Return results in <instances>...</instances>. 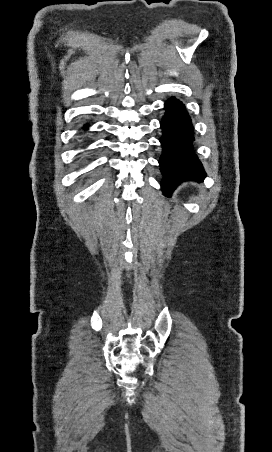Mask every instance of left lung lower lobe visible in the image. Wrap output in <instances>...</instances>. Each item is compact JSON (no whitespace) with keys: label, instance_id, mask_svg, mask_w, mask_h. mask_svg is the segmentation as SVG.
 <instances>
[{"label":"left lung lower lobe","instance_id":"1","mask_svg":"<svg viewBox=\"0 0 272 452\" xmlns=\"http://www.w3.org/2000/svg\"><path fill=\"white\" fill-rule=\"evenodd\" d=\"M164 106L159 164L164 175L162 191L170 196L182 181L200 180L206 174L193 150V127L185 106L175 97L169 98Z\"/></svg>","mask_w":272,"mask_h":452}]
</instances>
